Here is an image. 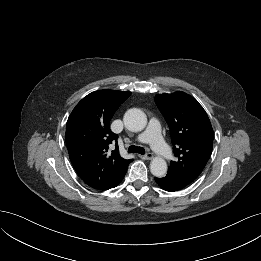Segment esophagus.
<instances>
[{"label":"esophagus","instance_id":"obj_1","mask_svg":"<svg viewBox=\"0 0 261 261\" xmlns=\"http://www.w3.org/2000/svg\"><path fill=\"white\" fill-rule=\"evenodd\" d=\"M140 158L144 159V160H150L153 158V154L148 152L145 155H139Z\"/></svg>","mask_w":261,"mask_h":261}]
</instances>
